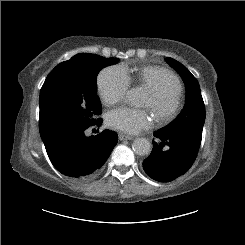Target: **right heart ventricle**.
Here are the masks:
<instances>
[{"instance_id":"e07e8e85","label":"right heart ventricle","mask_w":245,"mask_h":245,"mask_svg":"<svg viewBox=\"0 0 245 245\" xmlns=\"http://www.w3.org/2000/svg\"><path fill=\"white\" fill-rule=\"evenodd\" d=\"M167 71L168 70L159 66H144L136 72L134 79L144 88L150 89L158 86L159 84L167 80V76H166ZM125 72L129 80H131L132 79L131 74L126 69ZM174 84L178 92L180 93L182 86L180 80L176 75H175Z\"/></svg>"}]
</instances>
